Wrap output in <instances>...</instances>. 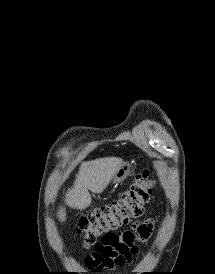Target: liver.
Instances as JSON below:
<instances>
[{"instance_id":"liver-1","label":"liver","mask_w":215,"mask_h":274,"mask_svg":"<svg viewBox=\"0 0 215 274\" xmlns=\"http://www.w3.org/2000/svg\"><path fill=\"white\" fill-rule=\"evenodd\" d=\"M122 164V159L118 157L83 162L73 187L65 195L66 205L74 209H86L92 201L89 191L102 193ZM58 217L61 222L65 221L64 208H60Z\"/></svg>"}]
</instances>
